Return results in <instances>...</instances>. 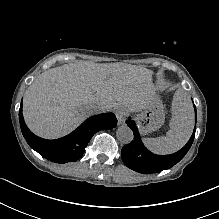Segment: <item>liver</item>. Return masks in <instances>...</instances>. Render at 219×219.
I'll list each match as a JSON object with an SVG mask.
<instances>
[{
  "label": "liver",
  "mask_w": 219,
  "mask_h": 219,
  "mask_svg": "<svg viewBox=\"0 0 219 219\" xmlns=\"http://www.w3.org/2000/svg\"><path fill=\"white\" fill-rule=\"evenodd\" d=\"M152 74L147 68L119 63H68L45 70L24 93V122L37 137L63 138L93 115L91 104L108 112L142 108L152 92Z\"/></svg>",
  "instance_id": "obj_1"
}]
</instances>
